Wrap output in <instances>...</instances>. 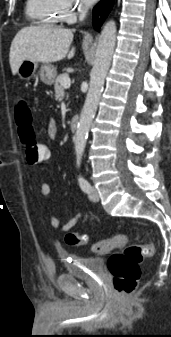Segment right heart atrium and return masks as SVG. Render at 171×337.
Returning <instances> with one entry per match:
<instances>
[{"label":"right heart atrium","mask_w":171,"mask_h":337,"mask_svg":"<svg viewBox=\"0 0 171 337\" xmlns=\"http://www.w3.org/2000/svg\"><path fill=\"white\" fill-rule=\"evenodd\" d=\"M54 3L59 11L60 20L66 23H73L86 9L80 0H54Z\"/></svg>","instance_id":"obj_1"}]
</instances>
